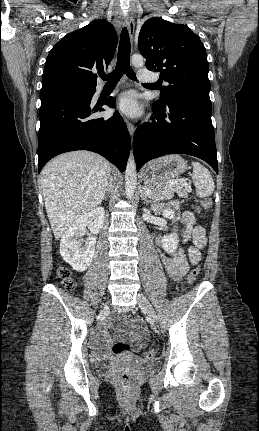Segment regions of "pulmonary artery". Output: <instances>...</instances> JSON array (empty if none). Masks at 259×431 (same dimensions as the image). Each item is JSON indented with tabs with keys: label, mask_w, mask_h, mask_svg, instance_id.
Listing matches in <instances>:
<instances>
[{
	"label": "pulmonary artery",
	"mask_w": 259,
	"mask_h": 431,
	"mask_svg": "<svg viewBox=\"0 0 259 431\" xmlns=\"http://www.w3.org/2000/svg\"><path fill=\"white\" fill-rule=\"evenodd\" d=\"M138 77L142 82H154L157 80V77L153 73L145 69L139 70Z\"/></svg>",
	"instance_id": "obj_1"
}]
</instances>
